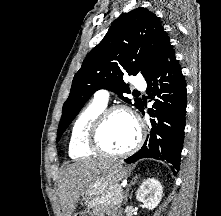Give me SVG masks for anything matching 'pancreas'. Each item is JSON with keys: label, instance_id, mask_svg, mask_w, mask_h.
<instances>
[{"label": "pancreas", "instance_id": "1", "mask_svg": "<svg viewBox=\"0 0 221 216\" xmlns=\"http://www.w3.org/2000/svg\"><path fill=\"white\" fill-rule=\"evenodd\" d=\"M122 200L123 195L121 187L113 185L100 197L94 199L92 205H121Z\"/></svg>", "mask_w": 221, "mask_h": 216}]
</instances>
